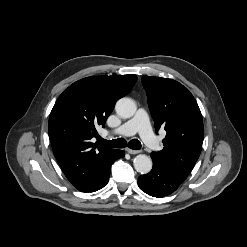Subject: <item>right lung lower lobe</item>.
<instances>
[{
	"mask_svg": "<svg viewBox=\"0 0 247 247\" xmlns=\"http://www.w3.org/2000/svg\"><path fill=\"white\" fill-rule=\"evenodd\" d=\"M125 154L123 151L121 150H117L112 158V162L110 163L107 171L105 172V174L101 177V179L99 181H97L93 186H91L90 188H88L87 190L83 191V192H94L97 191L101 188H103L109 181V176H110V168L112 163L118 159L123 157Z\"/></svg>",
	"mask_w": 247,
	"mask_h": 247,
	"instance_id": "right-lung-lower-lobe-1",
	"label": "right lung lower lobe"
}]
</instances>
